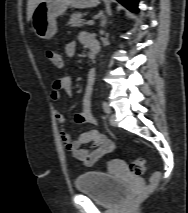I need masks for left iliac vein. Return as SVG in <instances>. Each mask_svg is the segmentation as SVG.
Masks as SVG:
<instances>
[{
  "instance_id": "1",
  "label": "left iliac vein",
  "mask_w": 188,
  "mask_h": 213,
  "mask_svg": "<svg viewBox=\"0 0 188 213\" xmlns=\"http://www.w3.org/2000/svg\"><path fill=\"white\" fill-rule=\"evenodd\" d=\"M110 124L112 126H116L117 125V123H116V117H115L114 114H111V116H110Z\"/></svg>"
}]
</instances>
